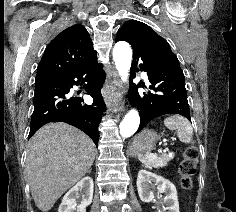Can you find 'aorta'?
Returning <instances> with one entry per match:
<instances>
[{
	"label": "aorta",
	"mask_w": 236,
	"mask_h": 212,
	"mask_svg": "<svg viewBox=\"0 0 236 212\" xmlns=\"http://www.w3.org/2000/svg\"><path fill=\"white\" fill-rule=\"evenodd\" d=\"M113 60L121 76L122 81H126L132 60V50L127 42L120 41L113 48ZM140 117L135 109L130 110L120 123L119 129L122 137L132 136L138 129Z\"/></svg>",
	"instance_id": "aorta-1"
}]
</instances>
